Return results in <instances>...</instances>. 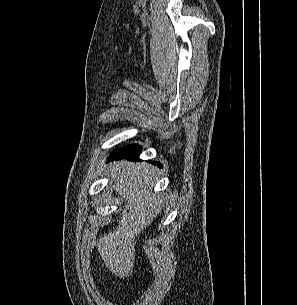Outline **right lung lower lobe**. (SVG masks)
Segmentation results:
<instances>
[{
	"instance_id": "obj_1",
	"label": "right lung lower lobe",
	"mask_w": 297,
	"mask_h": 305,
	"mask_svg": "<svg viewBox=\"0 0 297 305\" xmlns=\"http://www.w3.org/2000/svg\"><path fill=\"white\" fill-rule=\"evenodd\" d=\"M140 152H141V147L138 146L137 144L128 146L126 148L115 150L114 152H112L109 156V161L120 160L123 158L128 160H139L138 157ZM154 164L157 163L155 162ZM158 166H160L159 163Z\"/></svg>"
}]
</instances>
